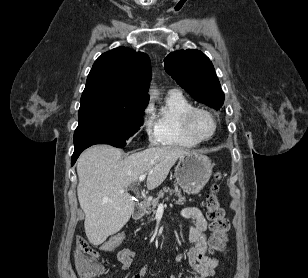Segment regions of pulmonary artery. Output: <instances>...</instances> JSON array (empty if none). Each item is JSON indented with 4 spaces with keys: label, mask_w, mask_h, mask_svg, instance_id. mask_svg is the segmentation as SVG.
<instances>
[{
    "label": "pulmonary artery",
    "mask_w": 308,
    "mask_h": 278,
    "mask_svg": "<svg viewBox=\"0 0 308 278\" xmlns=\"http://www.w3.org/2000/svg\"><path fill=\"white\" fill-rule=\"evenodd\" d=\"M170 93H178V91H176V90H173V91H171Z\"/></svg>",
    "instance_id": "1"
}]
</instances>
